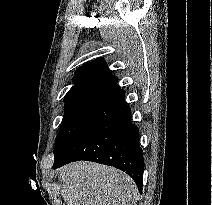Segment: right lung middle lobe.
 Masks as SVG:
<instances>
[{
	"label": "right lung middle lobe",
	"instance_id": "dd1d6c3e",
	"mask_svg": "<svg viewBox=\"0 0 212 205\" xmlns=\"http://www.w3.org/2000/svg\"><path fill=\"white\" fill-rule=\"evenodd\" d=\"M100 98L101 96H91L66 103L62 125L55 141L54 159L61 155L89 119Z\"/></svg>",
	"mask_w": 212,
	"mask_h": 205
}]
</instances>
